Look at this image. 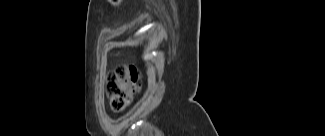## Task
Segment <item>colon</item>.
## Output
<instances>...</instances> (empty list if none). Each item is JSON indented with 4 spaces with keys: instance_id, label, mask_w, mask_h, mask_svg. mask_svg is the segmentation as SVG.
Here are the masks:
<instances>
[{
    "instance_id": "colon-1",
    "label": "colon",
    "mask_w": 325,
    "mask_h": 136,
    "mask_svg": "<svg viewBox=\"0 0 325 136\" xmlns=\"http://www.w3.org/2000/svg\"><path fill=\"white\" fill-rule=\"evenodd\" d=\"M139 80L140 73L134 66H119L108 75L106 91L114 111L126 109L138 90Z\"/></svg>"
}]
</instances>
